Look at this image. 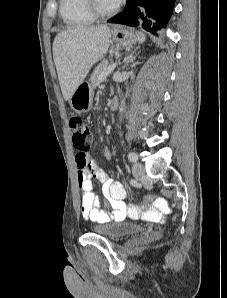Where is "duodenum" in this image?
<instances>
[{
  "label": "duodenum",
  "instance_id": "obj_1",
  "mask_svg": "<svg viewBox=\"0 0 227 298\" xmlns=\"http://www.w3.org/2000/svg\"><path fill=\"white\" fill-rule=\"evenodd\" d=\"M110 109H111V111H116L118 109V100L117 99L111 100Z\"/></svg>",
  "mask_w": 227,
  "mask_h": 298
}]
</instances>
